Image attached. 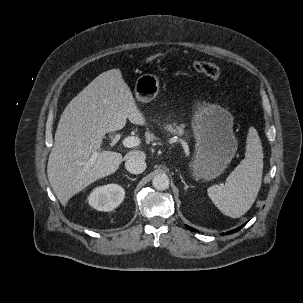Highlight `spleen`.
<instances>
[{"label": "spleen", "instance_id": "spleen-1", "mask_svg": "<svg viewBox=\"0 0 303 303\" xmlns=\"http://www.w3.org/2000/svg\"><path fill=\"white\" fill-rule=\"evenodd\" d=\"M263 149L258 132L249 128L245 158L227 177L225 185L208 188V196L225 215L239 218L253 205L261 187Z\"/></svg>", "mask_w": 303, "mask_h": 303}]
</instances>
